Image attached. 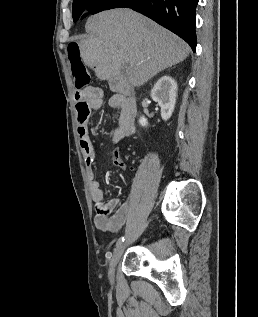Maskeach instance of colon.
Wrapping results in <instances>:
<instances>
[{
  "mask_svg": "<svg viewBox=\"0 0 258 317\" xmlns=\"http://www.w3.org/2000/svg\"><path fill=\"white\" fill-rule=\"evenodd\" d=\"M67 57L72 70L76 89H87L91 83V73L82 59L80 46L77 42H71L68 44Z\"/></svg>",
  "mask_w": 258,
  "mask_h": 317,
  "instance_id": "colon-1",
  "label": "colon"
}]
</instances>
